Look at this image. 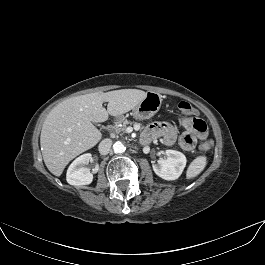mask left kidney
<instances>
[{
	"mask_svg": "<svg viewBox=\"0 0 265 265\" xmlns=\"http://www.w3.org/2000/svg\"><path fill=\"white\" fill-rule=\"evenodd\" d=\"M166 158H160L157 164L153 165L156 175L164 180H175L179 178L186 166V157L176 150H166Z\"/></svg>",
	"mask_w": 265,
	"mask_h": 265,
	"instance_id": "1",
	"label": "left kidney"
}]
</instances>
